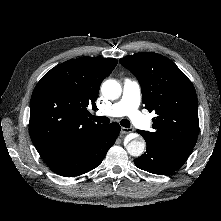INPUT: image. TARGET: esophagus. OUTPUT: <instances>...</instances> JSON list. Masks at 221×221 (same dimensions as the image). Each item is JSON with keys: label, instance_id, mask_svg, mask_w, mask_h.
<instances>
[{"label": "esophagus", "instance_id": "34e87169", "mask_svg": "<svg viewBox=\"0 0 221 221\" xmlns=\"http://www.w3.org/2000/svg\"><path fill=\"white\" fill-rule=\"evenodd\" d=\"M131 132H132L131 128H126V127L121 128V133L122 134H127V133H131Z\"/></svg>", "mask_w": 221, "mask_h": 221}]
</instances>
